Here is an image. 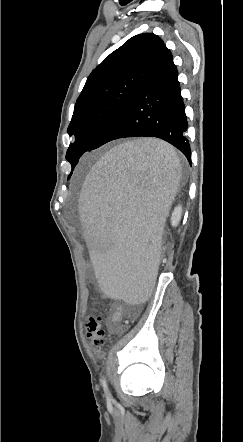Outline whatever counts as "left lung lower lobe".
Returning a JSON list of instances; mask_svg holds the SVG:
<instances>
[{
	"mask_svg": "<svg viewBox=\"0 0 243 442\" xmlns=\"http://www.w3.org/2000/svg\"><path fill=\"white\" fill-rule=\"evenodd\" d=\"M177 77L172 54L166 48L91 150L119 138L156 137L178 148L191 163L188 122Z\"/></svg>",
	"mask_w": 243,
	"mask_h": 442,
	"instance_id": "obj_1",
	"label": "left lung lower lobe"
}]
</instances>
